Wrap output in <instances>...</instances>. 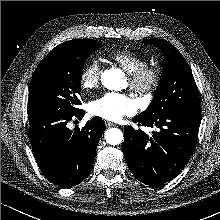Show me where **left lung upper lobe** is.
<instances>
[{"instance_id": "obj_1", "label": "left lung upper lobe", "mask_w": 220, "mask_h": 220, "mask_svg": "<svg viewBox=\"0 0 220 220\" xmlns=\"http://www.w3.org/2000/svg\"><path fill=\"white\" fill-rule=\"evenodd\" d=\"M144 44L155 45L164 54L160 83L153 101L147 110L141 113L145 117H154L178 110H200L198 89L187 61L169 42L151 38Z\"/></svg>"}]
</instances>
